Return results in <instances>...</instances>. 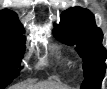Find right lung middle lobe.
Returning <instances> with one entry per match:
<instances>
[{
  "mask_svg": "<svg viewBox=\"0 0 107 89\" xmlns=\"http://www.w3.org/2000/svg\"><path fill=\"white\" fill-rule=\"evenodd\" d=\"M22 28L0 25V88L19 75L17 70L24 54Z\"/></svg>",
  "mask_w": 107,
  "mask_h": 89,
  "instance_id": "obj_1",
  "label": "right lung middle lobe"
}]
</instances>
